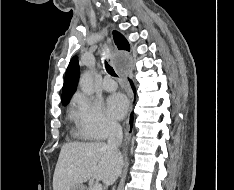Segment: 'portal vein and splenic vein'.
Instances as JSON below:
<instances>
[{
	"mask_svg": "<svg viewBox=\"0 0 234 190\" xmlns=\"http://www.w3.org/2000/svg\"><path fill=\"white\" fill-rule=\"evenodd\" d=\"M92 190H102V185L100 183H95Z\"/></svg>",
	"mask_w": 234,
	"mask_h": 190,
	"instance_id": "portal-vein-and-splenic-vein-1",
	"label": "portal vein and splenic vein"
}]
</instances>
